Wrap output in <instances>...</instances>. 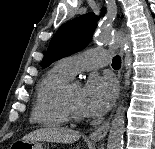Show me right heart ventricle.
Wrapping results in <instances>:
<instances>
[{
  "mask_svg": "<svg viewBox=\"0 0 155 149\" xmlns=\"http://www.w3.org/2000/svg\"><path fill=\"white\" fill-rule=\"evenodd\" d=\"M71 78L56 64L39 81L33 103L31 121L45 127H59L68 122L60 96Z\"/></svg>",
  "mask_w": 155,
  "mask_h": 149,
  "instance_id": "obj_1",
  "label": "right heart ventricle"
}]
</instances>
